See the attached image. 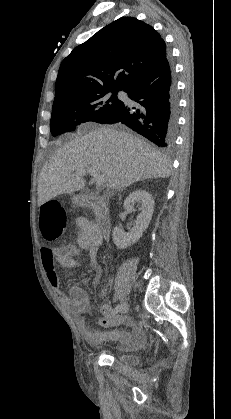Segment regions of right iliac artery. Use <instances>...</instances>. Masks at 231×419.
Masks as SVG:
<instances>
[{
  "mask_svg": "<svg viewBox=\"0 0 231 419\" xmlns=\"http://www.w3.org/2000/svg\"><path fill=\"white\" fill-rule=\"evenodd\" d=\"M121 307H122V304H118L114 310V313H117L118 311H120Z\"/></svg>",
  "mask_w": 231,
  "mask_h": 419,
  "instance_id": "82829eb1",
  "label": "right iliac artery"
}]
</instances>
